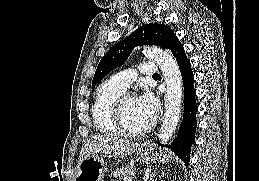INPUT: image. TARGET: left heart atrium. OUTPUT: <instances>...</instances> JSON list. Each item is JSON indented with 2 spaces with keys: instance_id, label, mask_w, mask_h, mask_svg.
Listing matches in <instances>:
<instances>
[{
  "instance_id": "1",
  "label": "left heart atrium",
  "mask_w": 259,
  "mask_h": 181,
  "mask_svg": "<svg viewBox=\"0 0 259 181\" xmlns=\"http://www.w3.org/2000/svg\"><path fill=\"white\" fill-rule=\"evenodd\" d=\"M137 105L141 112L150 120L156 116L159 103L157 98L149 91H144L138 97H136Z\"/></svg>"
}]
</instances>
